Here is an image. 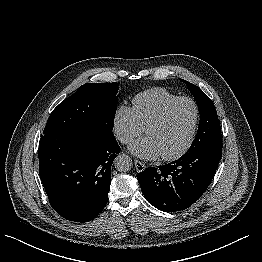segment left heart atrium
I'll return each mask as SVG.
<instances>
[{
	"mask_svg": "<svg viewBox=\"0 0 262 262\" xmlns=\"http://www.w3.org/2000/svg\"><path fill=\"white\" fill-rule=\"evenodd\" d=\"M129 149L134 155L142 159L154 160L161 156L158 145L150 136L135 141Z\"/></svg>",
	"mask_w": 262,
	"mask_h": 262,
	"instance_id": "39dd6f15",
	"label": "left heart atrium"
}]
</instances>
